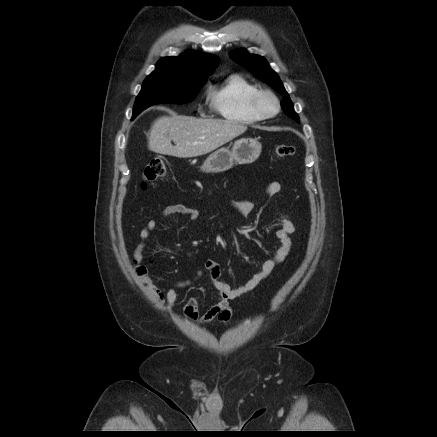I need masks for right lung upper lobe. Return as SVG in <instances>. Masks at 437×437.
<instances>
[{
	"label": "right lung upper lobe",
	"mask_w": 437,
	"mask_h": 437,
	"mask_svg": "<svg viewBox=\"0 0 437 437\" xmlns=\"http://www.w3.org/2000/svg\"><path fill=\"white\" fill-rule=\"evenodd\" d=\"M219 58L210 54L187 52L178 57H164L152 74H166L184 81L207 79L217 65Z\"/></svg>",
	"instance_id": "cb5924a9"
}]
</instances>
